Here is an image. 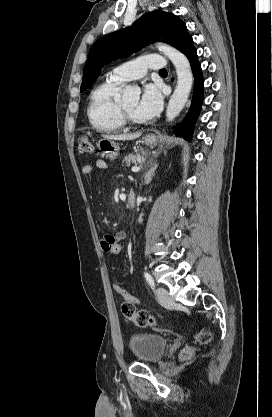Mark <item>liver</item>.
Segmentation results:
<instances>
[{"label": "liver", "mask_w": 272, "mask_h": 417, "mask_svg": "<svg viewBox=\"0 0 272 417\" xmlns=\"http://www.w3.org/2000/svg\"><path fill=\"white\" fill-rule=\"evenodd\" d=\"M140 136H141V133L138 132L134 134L104 135L103 137L109 140L128 141V140H134Z\"/></svg>", "instance_id": "obj_1"}]
</instances>
